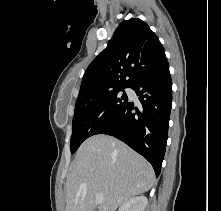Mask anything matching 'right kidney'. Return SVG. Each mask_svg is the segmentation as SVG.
<instances>
[{"mask_svg": "<svg viewBox=\"0 0 221 211\" xmlns=\"http://www.w3.org/2000/svg\"><path fill=\"white\" fill-rule=\"evenodd\" d=\"M147 203L145 196H136L124 202L118 211H145Z\"/></svg>", "mask_w": 221, "mask_h": 211, "instance_id": "ca27d5eb", "label": "right kidney"}]
</instances>
